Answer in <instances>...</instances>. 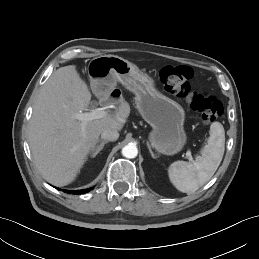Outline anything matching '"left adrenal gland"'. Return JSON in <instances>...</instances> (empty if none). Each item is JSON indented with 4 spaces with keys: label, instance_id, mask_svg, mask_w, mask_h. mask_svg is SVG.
<instances>
[{
    "label": "left adrenal gland",
    "instance_id": "obj_1",
    "mask_svg": "<svg viewBox=\"0 0 259 259\" xmlns=\"http://www.w3.org/2000/svg\"><path fill=\"white\" fill-rule=\"evenodd\" d=\"M148 149H149V152H150L152 158L156 159L157 157H156V156L154 155V153L152 152L151 147L149 146V144H148Z\"/></svg>",
    "mask_w": 259,
    "mask_h": 259
}]
</instances>
